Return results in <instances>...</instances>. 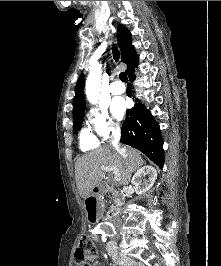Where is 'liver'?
<instances>
[{
  "instance_id": "1",
  "label": "liver",
  "mask_w": 221,
  "mask_h": 266,
  "mask_svg": "<svg viewBox=\"0 0 221 266\" xmlns=\"http://www.w3.org/2000/svg\"><path fill=\"white\" fill-rule=\"evenodd\" d=\"M125 157L113 147L106 146L96 149L81 156L75 164V180L78 192L84 199L87 198L89 189H94L105 177L101 167H116L121 175L119 184L128 185L132 173L139 169L145 162L140 152L124 147Z\"/></svg>"
}]
</instances>
